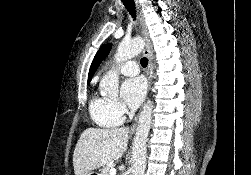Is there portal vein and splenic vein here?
<instances>
[{
    "mask_svg": "<svg viewBox=\"0 0 251 175\" xmlns=\"http://www.w3.org/2000/svg\"><path fill=\"white\" fill-rule=\"evenodd\" d=\"M116 171H117L116 167H111L110 175H116Z\"/></svg>",
    "mask_w": 251,
    "mask_h": 175,
    "instance_id": "portal-vein-and-splenic-vein-1",
    "label": "portal vein and splenic vein"
}]
</instances>
